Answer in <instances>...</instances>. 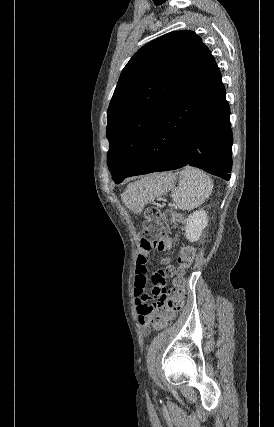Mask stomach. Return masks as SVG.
<instances>
[{
  "mask_svg": "<svg viewBox=\"0 0 274 427\" xmlns=\"http://www.w3.org/2000/svg\"><path fill=\"white\" fill-rule=\"evenodd\" d=\"M148 180H156V190L158 192L159 186H161L162 190L164 192H168L170 188H173L176 180L175 174H153V176H148ZM136 186H128L126 190V196H127V206L130 208V210H143L145 204H149V202H152L153 198L150 196V194H153L150 190H146V188H137L135 190ZM141 194V196H140Z\"/></svg>",
  "mask_w": 274,
  "mask_h": 427,
  "instance_id": "stomach-1",
  "label": "stomach"
}]
</instances>
